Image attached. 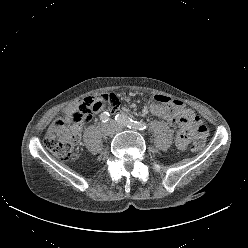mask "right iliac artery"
Wrapping results in <instances>:
<instances>
[{
    "mask_svg": "<svg viewBox=\"0 0 248 248\" xmlns=\"http://www.w3.org/2000/svg\"><path fill=\"white\" fill-rule=\"evenodd\" d=\"M109 119H110V114L108 113V112H103V113H101V115H100V120L102 121V122H107V121H109Z\"/></svg>",
    "mask_w": 248,
    "mask_h": 248,
    "instance_id": "right-iliac-artery-1",
    "label": "right iliac artery"
}]
</instances>
